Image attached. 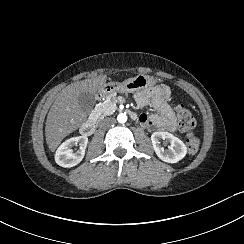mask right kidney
Segmentation results:
<instances>
[{"label": "right kidney", "instance_id": "obj_1", "mask_svg": "<svg viewBox=\"0 0 244 244\" xmlns=\"http://www.w3.org/2000/svg\"><path fill=\"white\" fill-rule=\"evenodd\" d=\"M79 144L80 150L73 153L72 147ZM88 144L87 136L72 137L63 142L55 153V161L59 166L70 168L79 164L84 155Z\"/></svg>", "mask_w": 244, "mask_h": 244}]
</instances>
